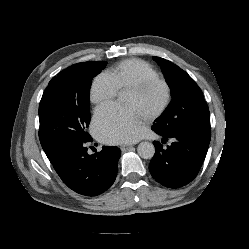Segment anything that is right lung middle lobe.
<instances>
[{
  "label": "right lung middle lobe",
  "instance_id": "1",
  "mask_svg": "<svg viewBox=\"0 0 249 249\" xmlns=\"http://www.w3.org/2000/svg\"><path fill=\"white\" fill-rule=\"evenodd\" d=\"M105 61L74 64L49 82L39 105V139L43 150L64 141L88 140L92 79Z\"/></svg>",
  "mask_w": 249,
  "mask_h": 249
}]
</instances>
